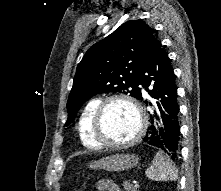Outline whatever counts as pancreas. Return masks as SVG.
Here are the masks:
<instances>
[{"label": "pancreas", "instance_id": "pancreas-1", "mask_svg": "<svg viewBox=\"0 0 221 191\" xmlns=\"http://www.w3.org/2000/svg\"><path fill=\"white\" fill-rule=\"evenodd\" d=\"M123 187L125 191H138L137 188H135L132 184H130L128 181L123 182Z\"/></svg>", "mask_w": 221, "mask_h": 191}]
</instances>
